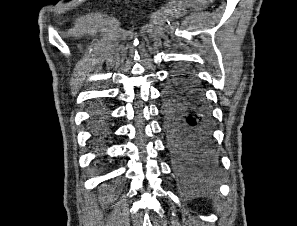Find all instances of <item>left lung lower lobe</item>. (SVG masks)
Returning <instances> with one entry per match:
<instances>
[{
	"label": "left lung lower lobe",
	"instance_id": "left-lung-lower-lobe-1",
	"mask_svg": "<svg viewBox=\"0 0 297 226\" xmlns=\"http://www.w3.org/2000/svg\"><path fill=\"white\" fill-rule=\"evenodd\" d=\"M164 129L176 176L203 185L215 178L216 157L210 144L209 112L192 77L175 71L164 92Z\"/></svg>",
	"mask_w": 297,
	"mask_h": 226
}]
</instances>
